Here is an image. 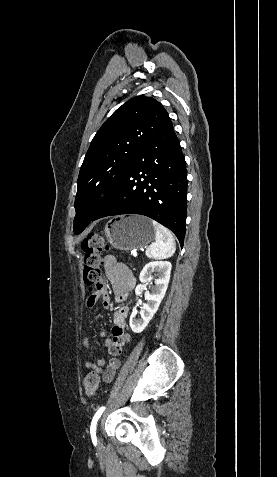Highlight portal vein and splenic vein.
Masks as SVG:
<instances>
[{
  "label": "portal vein and splenic vein",
  "instance_id": "portal-vein-and-splenic-vein-1",
  "mask_svg": "<svg viewBox=\"0 0 277 477\" xmlns=\"http://www.w3.org/2000/svg\"><path fill=\"white\" fill-rule=\"evenodd\" d=\"M132 255H133L134 257H136V256H137V253H136V252H133Z\"/></svg>",
  "mask_w": 277,
  "mask_h": 477
}]
</instances>
